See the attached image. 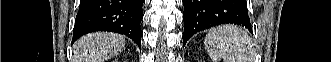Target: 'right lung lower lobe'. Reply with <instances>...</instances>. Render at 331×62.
Returning <instances> with one entry per match:
<instances>
[{
    "instance_id": "1",
    "label": "right lung lower lobe",
    "mask_w": 331,
    "mask_h": 62,
    "mask_svg": "<svg viewBox=\"0 0 331 62\" xmlns=\"http://www.w3.org/2000/svg\"><path fill=\"white\" fill-rule=\"evenodd\" d=\"M144 0H81L72 43L96 31H109L130 37L141 49L140 22Z\"/></svg>"
}]
</instances>
